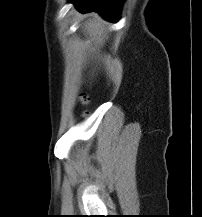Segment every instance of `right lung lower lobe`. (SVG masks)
<instances>
[{
	"instance_id": "98d812e1",
	"label": "right lung lower lobe",
	"mask_w": 202,
	"mask_h": 217,
	"mask_svg": "<svg viewBox=\"0 0 202 217\" xmlns=\"http://www.w3.org/2000/svg\"><path fill=\"white\" fill-rule=\"evenodd\" d=\"M76 5L81 13L98 12L105 19L111 22L119 20V12L124 0H69Z\"/></svg>"
}]
</instances>
